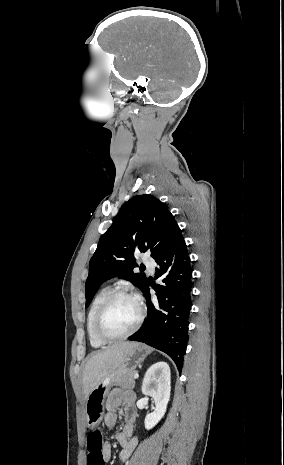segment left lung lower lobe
<instances>
[{"label":"left lung lower lobe","instance_id":"1","mask_svg":"<svg viewBox=\"0 0 284 465\" xmlns=\"http://www.w3.org/2000/svg\"><path fill=\"white\" fill-rule=\"evenodd\" d=\"M156 279L163 285L152 286L148 281L142 292L148 305V318L143 327L129 340L146 343L168 354L181 372L186 352L191 310L192 269L187 245L178 228L167 248L155 258ZM149 286L157 292L152 299Z\"/></svg>","mask_w":284,"mask_h":465}]
</instances>
